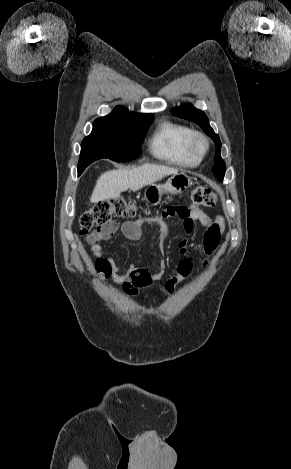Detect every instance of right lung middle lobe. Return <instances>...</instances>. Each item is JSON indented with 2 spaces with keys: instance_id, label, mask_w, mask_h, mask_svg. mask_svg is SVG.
<instances>
[{
  "instance_id": "right-lung-middle-lobe-1",
  "label": "right lung middle lobe",
  "mask_w": 291,
  "mask_h": 469,
  "mask_svg": "<svg viewBox=\"0 0 291 469\" xmlns=\"http://www.w3.org/2000/svg\"><path fill=\"white\" fill-rule=\"evenodd\" d=\"M152 121L153 116L137 120L96 119L91 134L81 144L78 175L100 158L117 162L137 159L141 141Z\"/></svg>"
}]
</instances>
